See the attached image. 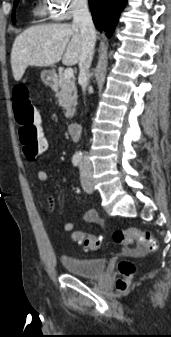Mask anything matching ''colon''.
I'll list each match as a JSON object with an SVG mask.
<instances>
[{"label":"colon","instance_id":"obj_1","mask_svg":"<svg viewBox=\"0 0 171 337\" xmlns=\"http://www.w3.org/2000/svg\"><path fill=\"white\" fill-rule=\"evenodd\" d=\"M13 106L19 128L20 144L26 159L35 161L43 152L52 151V144H48L44 127L40 126L39 115L25 86L20 85L15 88ZM71 237L74 242L82 243L88 250H97L101 246V240L98 237L82 231H74ZM113 241L125 250L138 254L155 251L158 247L156 239L149 231L135 228L115 231ZM118 271L121 277L117 280V287L124 291L128 287V281L135 267L130 261L123 260L118 265Z\"/></svg>","mask_w":171,"mask_h":337}]
</instances>
